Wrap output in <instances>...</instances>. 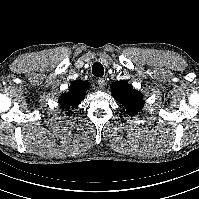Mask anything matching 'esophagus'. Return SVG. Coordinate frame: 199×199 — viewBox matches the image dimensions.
<instances>
[{"instance_id": "esophagus-1", "label": "esophagus", "mask_w": 199, "mask_h": 199, "mask_svg": "<svg viewBox=\"0 0 199 199\" xmlns=\"http://www.w3.org/2000/svg\"><path fill=\"white\" fill-rule=\"evenodd\" d=\"M97 83L100 89H104L106 86V80L104 78H99Z\"/></svg>"}]
</instances>
